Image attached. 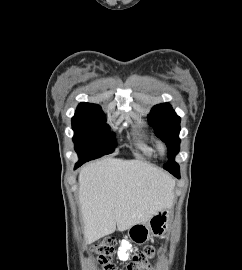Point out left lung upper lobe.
<instances>
[{
	"label": "left lung upper lobe",
	"mask_w": 242,
	"mask_h": 270,
	"mask_svg": "<svg viewBox=\"0 0 242 270\" xmlns=\"http://www.w3.org/2000/svg\"><path fill=\"white\" fill-rule=\"evenodd\" d=\"M148 122L154 128L158 137L168 147L169 161L164 168L174 176H180L179 165L174 161L175 155L179 152L180 139V117L176 115L168 103L154 106L148 115Z\"/></svg>",
	"instance_id": "1"
}]
</instances>
